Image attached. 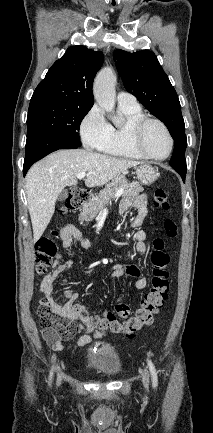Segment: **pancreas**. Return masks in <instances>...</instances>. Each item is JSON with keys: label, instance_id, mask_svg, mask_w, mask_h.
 Here are the masks:
<instances>
[{"label": "pancreas", "instance_id": "pancreas-1", "mask_svg": "<svg viewBox=\"0 0 213 433\" xmlns=\"http://www.w3.org/2000/svg\"><path fill=\"white\" fill-rule=\"evenodd\" d=\"M121 188L124 189L123 196H137L143 191L139 184L135 182L129 183L122 175L117 176L98 195L92 197L88 203L83 205L82 212L79 215L80 222L92 221Z\"/></svg>", "mask_w": 213, "mask_h": 433}]
</instances>
